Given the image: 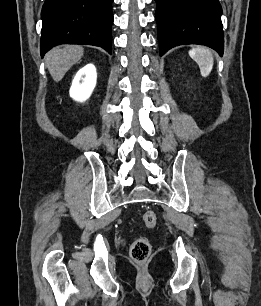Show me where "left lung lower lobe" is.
<instances>
[{"mask_svg":"<svg viewBox=\"0 0 261 306\" xmlns=\"http://www.w3.org/2000/svg\"><path fill=\"white\" fill-rule=\"evenodd\" d=\"M160 55L182 44H203L224 51L218 0H155Z\"/></svg>","mask_w":261,"mask_h":306,"instance_id":"left-lung-lower-lobe-1","label":"left lung lower lobe"}]
</instances>
